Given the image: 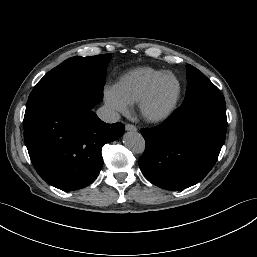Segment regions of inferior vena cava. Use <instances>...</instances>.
<instances>
[{
  "mask_svg": "<svg viewBox=\"0 0 257 257\" xmlns=\"http://www.w3.org/2000/svg\"><path fill=\"white\" fill-rule=\"evenodd\" d=\"M97 115L102 121L106 123H115L120 119L119 113L107 106L100 107L97 110Z\"/></svg>",
  "mask_w": 257,
  "mask_h": 257,
  "instance_id": "1",
  "label": "inferior vena cava"
}]
</instances>
